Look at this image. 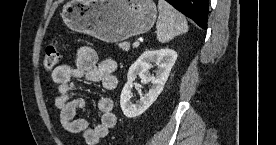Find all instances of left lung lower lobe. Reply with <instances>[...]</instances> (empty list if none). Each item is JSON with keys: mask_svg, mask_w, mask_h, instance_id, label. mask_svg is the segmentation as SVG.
I'll list each match as a JSON object with an SVG mask.
<instances>
[{"mask_svg": "<svg viewBox=\"0 0 276 145\" xmlns=\"http://www.w3.org/2000/svg\"><path fill=\"white\" fill-rule=\"evenodd\" d=\"M177 10L207 29L208 0H166Z\"/></svg>", "mask_w": 276, "mask_h": 145, "instance_id": "left-lung-lower-lobe-1", "label": "left lung lower lobe"}]
</instances>
